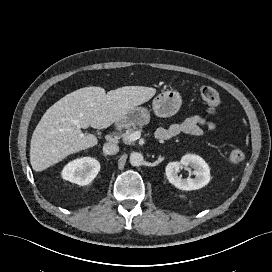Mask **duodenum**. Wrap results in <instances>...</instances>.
<instances>
[{"instance_id": "1", "label": "duodenum", "mask_w": 272, "mask_h": 272, "mask_svg": "<svg viewBox=\"0 0 272 272\" xmlns=\"http://www.w3.org/2000/svg\"><path fill=\"white\" fill-rule=\"evenodd\" d=\"M115 126H118V124H117V123H115Z\"/></svg>"}]
</instances>
